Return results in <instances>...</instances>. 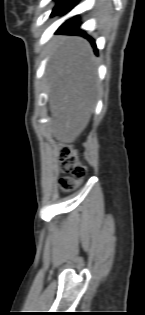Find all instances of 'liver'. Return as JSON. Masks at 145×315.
I'll use <instances>...</instances> for the list:
<instances>
[{
  "instance_id": "liver-1",
  "label": "liver",
  "mask_w": 145,
  "mask_h": 315,
  "mask_svg": "<svg viewBox=\"0 0 145 315\" xmlns=\"http://www.w3.org/2000/svg\"><path fill=\"white\" fill-rule=\"evenodd\" d=\"M46 75L52 135L60 143H73L90 121L97 94L90 44L82 38H64L52 51Z\"/></svg>"
}]
</instances>
